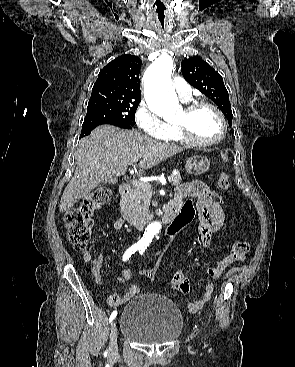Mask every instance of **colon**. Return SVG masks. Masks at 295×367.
Returning <instances> with one entry per match:
<instances>
[{"instance_id":"obj_1","label":"colon","mask_w":295,"mask_h":367,"mask_svg":"<svg viewBox=\"0 0 295 367\" xmlns=\"http://www.w3.org/2000/svg\"><path fill=\"white\" fill-rule=\"evenodd\" d=\"M218 187L221 190L227 191L231 188V182L227 173L222 172L217 178ZM213 195L218 201V205L225 206L226 200L224 194L219 193L218 190H213ZM111 198V191L107 188H98L91 192L83 202L78 206L68 210L64 217V223L67 231V236L72 246L80 251L87 252V247L90 240L91 227L93 223V214L96 210L104 207ZM194 197L192 195H186L184 206H181V215L174 223L173 221L167 225L165 229L164 237L166 238L164 248L158 252V260L167 248V246L174 245L175 235H178V228L183 227L189 222L194 220L197 208L193 202ZM249 251V243L244 239H239L234 242L231 252L224 259H222L218 266L225 268L227 265L233 262H241L245 259ZM150 268L141 272L142 276L147 279H152L155 270L159 268L157 263H152ZM180 291V290H179Z\"/></svg>"}]
</instances>
